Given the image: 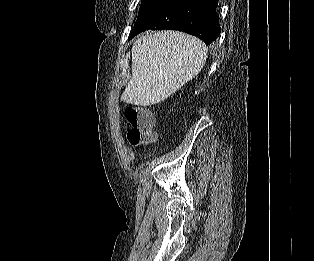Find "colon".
Listing matches in <instances>:
<instances>
[{
	"instance_id": "1",
	"label": "colon",
	"mask_w": 314,
	"mask_h": 261,
	"mask_svg": "<svg viewBox=\"0 0 314 261\" xmlns=\"http://www.w3.org/2000/svg\"><path fill=\"white\" fill-rule=\"evenodd\" d=\"M124 116L130 125L127 139L133 147L155 140V117L150 109L143 106L128 105L124 110Z\"/></svg>"
}]
</instances>
